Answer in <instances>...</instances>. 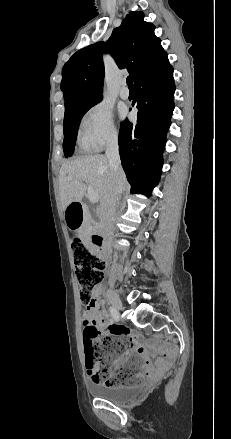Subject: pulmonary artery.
I'll use <instances>...</instances> for the list:
<instances>
[{"label": "pulmonary artery", "mask_w": 231, "mask_h": 439, "mask_svg": "<svg viewBox=\"0 0 231 439\" xmlns=\"http://www.w3.org/2000/svg\"><path fill=\"white\" fill-rule=\"evenodd\" d=\"M119 94L122 99H127L129 97L130 93L125 82H123Z\"/></svg>", "instance_id": "obj_1"}]
</instances>
